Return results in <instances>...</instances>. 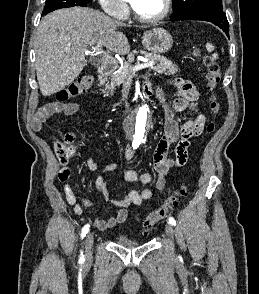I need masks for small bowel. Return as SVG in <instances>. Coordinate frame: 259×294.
Returning <instances> with one entry per match:
<instances>
[{
    "instance_id": "c3829d8e",
    "label": "small bowel",
    "mask_w": 259,
    "mask_h": 294,
    "mask_svg": "<svg viewBox=\"0 0 259 294\" xmlns=\"http://www.w3.org/2000/svg\"><path fill=\"white\" fill-rule=\"evenodd\" d=\"M169 85L175 87L179 94V98L175 99L171 105H168L164 99L162 85H155L153 88H150V92L158 100L164 111V134L159 140L153 155V164L156 171V188L159 192L164 189L166 178L171 170L180 168L186 164L190 139L200 135L206 123V117L197 110L196 101L198 99V92L195 86L185 80L173 81ZM187 109L195 111L196 115L180 126L175 120L174 114ZM78 110L79 105L74 102L54 101L48 103L36 112L31 121V127L34 131H40L43 124L51 116L56 114L71 116L77 113ZM173 145H176V153L174 158H171L169 156V150ZM134 153V150L128 147L124 152L125 159L130 161ZM87 166L92 171L99 168L96 161L92 158L87 159ZM117 168L118 165L116 163L103 166L95 182L98 194L107 199L116 208L115 216L95 221L96 227L102 231L111 229L117 224L124 223L128 218L127 209L131 205H142L144 202L151 200L155 195L151 188L145 187L141 190L130 189L125 196L119 199L110 197L107 190L106 175L109 172L117 170ZM124 180L127 183L139 181L142 185H149L153 181V176L150 173L139 174L136 170L129 169L124 172ZM63 189L68 204L73 206L76 214L81 215L83 213V207L93 205V202L88 199H83L79 202L69 184H65Z\"/></svg>"
}]
</instances>
